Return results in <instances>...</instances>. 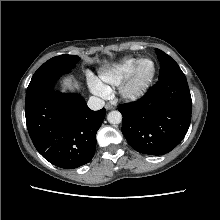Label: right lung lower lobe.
Instances as JSON below:
<instances>
[{
	"label": "right lung lower lobe",
	"instance_id": "98d812e1",
	"mask_svg": "<svg viewBox=\"0 0 220 220\" xmlns=\"http://www.w3.org/2000/svg\"><path fill=\"white\" fill-rule=\"evenodd\" d=\"M105 108L92 111L79 94L47 89L26 101L29 135L50 163L72 169L88 163L96 149V133Z\"/></svg>",
	"mask_w": 220,
	"mask_h": 220
}]
</instances>
